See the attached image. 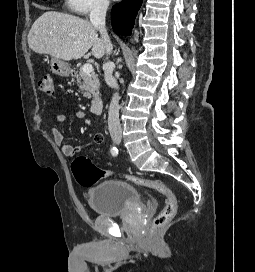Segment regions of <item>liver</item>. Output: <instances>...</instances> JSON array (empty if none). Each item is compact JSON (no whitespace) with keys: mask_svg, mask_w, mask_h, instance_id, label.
I'll return each mask as SVG.
<instances>
[{"mask_svg":"<svg viewBox=\"0 0 255 272\" xmlns=\"http://www.w3.org/2000/svg\"><path fill=\"white\" fill-rule=\"evenodd\" d=\"M28 45L39 54L70 61L93 55L101 58L105 44L98 37L96 28L86 19L67 13L47 11L32 25ZM91 49V52L87 53Z\"/></svg>","mask_w":255,"mask_h":272,"instance_id":"obj_1","label":"liver"}]
</instances>
